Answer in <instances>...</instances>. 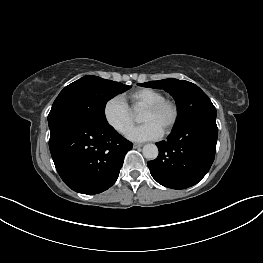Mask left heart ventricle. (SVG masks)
<instances>
[{"label":"left heart ventricle","mask_w":263,"mask_h":263,"mask_svg":"<svg viewBox=\"0 0 263 263\" xmlns=\"http://www.w3.org/2000/svg\"><path fill=\"white\" fill-rule=\"evenodd\" d=\"M170 117V111L168 109H163L161 111H151L149 109H144L142 114V121L148 122L153 121L157 123L162 129H164Z\"/></svg>","instance_id":"b2bd125f"}]
</instances>
